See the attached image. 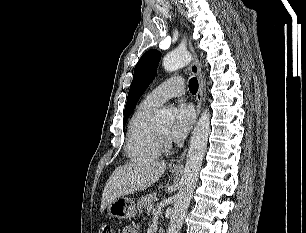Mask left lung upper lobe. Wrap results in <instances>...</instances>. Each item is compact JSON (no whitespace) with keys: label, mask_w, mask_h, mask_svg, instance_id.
Returning a JSON list of instances; mask_svg holds the SVG:
<instances>
[{"label":"left lung upper lobe","mask_w":306,"mask_h":233,"mask_svg":"<svg viewBox=\"0 0 306 233\" xmlns=\"http://www.w3.org/2000/svg\"><path fill=\"white\" fill-rule=\"evenodd\" d=\"M160 58L161 53L158 50H149L140 58L135 66L133 81L124 110V123L132 113L141 95L154 79Z\"/></svg>","instance_id":"obj_1"}]
</instances>
